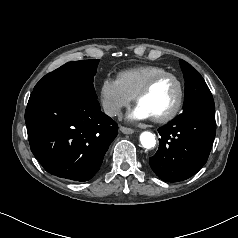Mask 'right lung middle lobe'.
Listing matches in <instances>:
<instances>
[{"mask_svg": "<svg viewBox=\"0 0 238 238\" xmlns=\"http://www.w3.org/2000/svg\"><path fill=\"white\" fill-rule=\"evenodd\" d=\"M99 60H81L68 62L51 73L45 75L34 87L33 91L77 88L94 96L93 78Z\"/></svg>", "mask_w": 238, "mask_h": 238, "instance_id": "right-lung-middle-lobe-1", "label": "right lung middle lobe"}]
</instances>
